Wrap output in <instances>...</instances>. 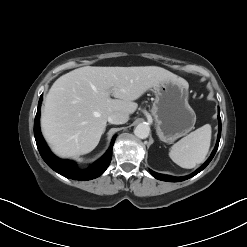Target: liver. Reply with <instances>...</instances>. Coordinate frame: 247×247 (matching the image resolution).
Listing matches in <instances>:
<instances>
[{"mask_svg": "<svg viewBox=\"0 0 247 247\" xmlns=\"http://www.w3.org/2000/svg\"><path fill=\"white\" fill-rule=\"evenodd\" d=\"M168 79L185 81L157 66H85L70 71L46 96L43 135L60 157L87 154L98 145L112 112L134 113L138 105L133 101Z\"/></svg>", "mask_w": 247, "mask_h": 247, "instance_id": "liver-1", "label": "liver"}]
</instances>
